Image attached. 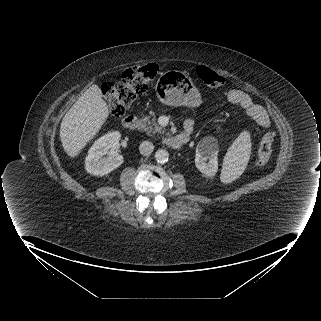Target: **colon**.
I'll return each mask as SVG.
<instances>
[{
  "instance_id": "colon-1",
  "label": "colon",
  "mask_w": 321,
  "mask_h": 321,
  "mask_svg": "<svg viewBox=\"0 0 321 321\" xmlns=\"http://www.w3.org/2000/svg\"><path fill=\"white\" fill-rule=\"evenodd\" d=\"M159 67L155 63L133 66L126 69L117 82L105 83L102 94L110 114L119 118L131 107L135 100L143 95L152 80L158 75ZM198 77L210 87L218 88L225 84V79L205 65L197 69ZM274 134L269 131L262 137L256 163L259 166L267 164L271 158Z\"/></svg>"
}]
</instances>
